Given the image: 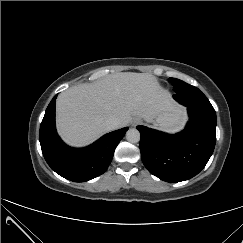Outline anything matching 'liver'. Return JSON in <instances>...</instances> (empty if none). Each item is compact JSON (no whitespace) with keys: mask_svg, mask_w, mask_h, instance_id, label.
<instances>
[{"mask_svg":"<svg viewBox=\"0 0 243 243\" xmlns=\"http://www.w3.org/2000/svg\"><path fill=\"white\" fill-rule=\"evenodd\" d=\"M166 110L183 111L155 76L115 73L62 92L56 101L57 129L66 143L84 146L110 131L106 126L109 118H118L121 128L133 117L154 122Z\"/></svg>","mask_w":243,"mask_h":243,"instance_id":"6515ba94","label":"liver"}]
</instances>
